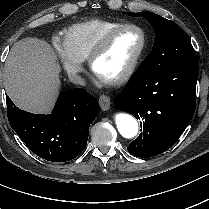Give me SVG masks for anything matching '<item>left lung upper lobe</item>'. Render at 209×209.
<instances>
[{"mask_svg": "<svg viewBox=\"0 0 209 209\" xmlns=\"http://www.w3.org/2000/svg\"><path fill=\"white\" fill-rule=\"evenodd\" d=\"M128 15L146 18L156 34L151 53L138 69L157 74L196 58L191 43L173 21L152 12H129Z\"/></svg>", "mask_w": 209, "mask_h": 209, "instance_id": "5c2ea615", "label": "left lung upper lobe"}]
</instances>
